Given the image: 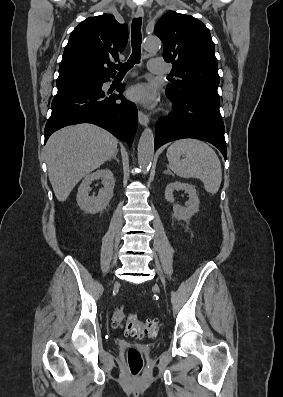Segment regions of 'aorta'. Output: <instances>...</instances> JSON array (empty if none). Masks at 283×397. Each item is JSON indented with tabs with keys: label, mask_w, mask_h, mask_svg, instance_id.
<instances>
[{
	"label": "aorta",
	"mask_w": 283,
	"mask_h": 397,
	"mask_svg": "<svg viewBox=\"0 0 283 397\" xmlns=\"http://www.w3.org/2000/svg\"><path fill=\"white\" fill-rule=\"evenodd\" d=\"M160 47V40L157 37H147L144 41L146 51H154ZM154 156V136L150 128H145L138 143V164L144 174L151 166Z\"/></svg>",
	"instance_id": "1"
}]
</instances>
